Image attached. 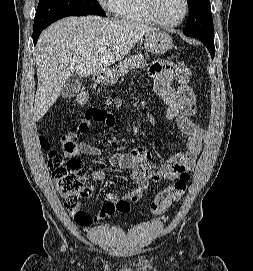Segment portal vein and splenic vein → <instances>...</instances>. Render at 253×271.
Listing matches in <instances>:
<instances>
[{
  "label": "portal vein and splenic vein",
  "instance_id": "obj_1",
  "mask_svg": "<svg viewBox=\"0 0 253 271\" xmlns=\"http://www.w3.org/2000/svg\"><path fill=\"white\" fill-rule=\"evenodd\" d=\"M98 52L103 53L104 52V48H99Z\"/></svg>",
  "mask_w": 253,
  "mask_h": 271
}]
</instances>
